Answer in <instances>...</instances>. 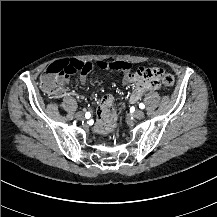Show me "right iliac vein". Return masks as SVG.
I'll use <instances>...</instances> for the list:
<instances>
[{
    "instance_id": "63e3f726",
    "label": "right iliac vein",
    "mask_w": 217,
    "mask_h": 217,
    "mask_svg": "<svg viewBox=\"0 0 217 217\" xmlns=\"http://www.w3.org/2000/svg\"><path fill=\"white\" fill-rule=\"evenodd\" d=\"M75 116L79 120H83L84 119V114L82 112H77Z\"/></svg>"
}]
</instances>
